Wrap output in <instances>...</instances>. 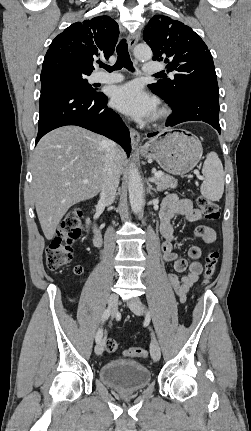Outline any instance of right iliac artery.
<instances>
[{
  "mask_svg": "<svg viewBox=\"0 0 251 431\" xmlns=\"http://www.w3.org/2000/svg\"><path fill=\"white\" fill-rule=\"evenodd\" d=\"M110 314H111V310L107 308L102 315V323H104L109 318ZM102 335H103V330L102 328H99L96 333V342H99L101 340Z\"/></svg>",
  "mask_w": 251,
  "mask_h": 431,
  "instance_id": "82829eb1",
  "label": "right iliac artery"
}]
</instances>
